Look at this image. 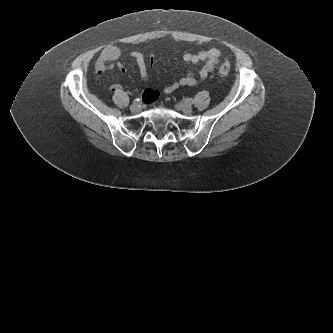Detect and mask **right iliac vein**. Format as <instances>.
Returning <instances> with one entry per match:
<instances>
[{"mask_svg":"<svg viewBox=\"0 0 333 333\" xmlns=\"http://www.w3.org/2000/svg\"><path fill=\"white\" fill-rule=\"evenodd\" d=\"M142 107L140 105V103L134 102L131 106H130V110L133 113H137L139 111H141Z\"/></svg>","mask_w":333,"mask_h":333,"instance_id":"obj_1","label":"right iliac vein"}]
</instances>
